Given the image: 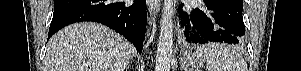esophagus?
Instances as JSON below:
<instances>
[{"instance_id":"1","label":"esophagus","mask_w":301,"mask_h":71,"mask_svg":"<svg viewBox=\"0 0 301 71\" xmlns=\"http://www.w3.org/2000/svg\"><path fill=\"white\" fill-rule=\"evenodd\" d=\"M148 11L150 15L157 13L160 9V0H147Z\"/></svg>"}]
</instances>
